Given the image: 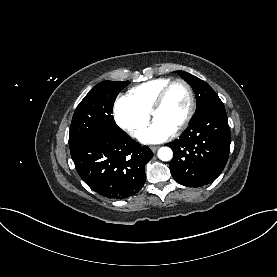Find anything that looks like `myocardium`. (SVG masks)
<instances>
[{"mask_svg":"<svg viewBox=\"0 0 277 277\" xmlns=\"http://www.w3.org/2000/svg\"><path fill=\"white\" fill-rule=\"evenodd\" d=\"M182 85L186 88L188 95H189V108H188V112L185 116V118L183 119V121L176 127L175 131L179 132L182 131L183 129H185L188 124L190 123L194 113H195V109H196V100H195V94L194 91L191 87V85L186 82L183 79H175L170 81L166 86H164L162 88V90L159 92L158 96L156 97L150 111H149V115L154 118V115L157 113V111L163 106L167 95L169 93V91L171 90V88L175 85Z\"/></svg>","mask_w":277,"mask_h":277,"instance_id":"f54148a6","label":"myocardium"}]
</instances>
